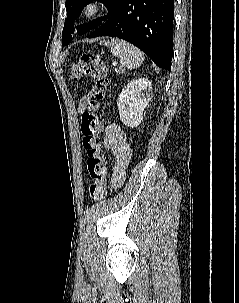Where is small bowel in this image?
Listing matches in <instances>:
<instances>
[{"label": "small bowel", "instance_id": "c3829d8e", "mask_svg": "<svg viewBox=\"0 0 239 303\" xmlns=\"http://www.w3.org/2000/svg\"><path fill=\"white\" fill-rule=\"evenodd\" d=\"M88 97L80 104V110ZM103 147L112 154L111 186L120 188L126 180V169L131 159L132 149L127 134L117 124H109L103 137Z\"/></svg>", "mask_w": 239, "mask_h": 303}]
</instances>
